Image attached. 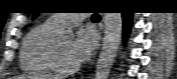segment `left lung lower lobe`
Wrapping results in <instances>:
<instances>
[{"mask_svg":"<svg viewBox=\"0 0 177 79\" xmlns=\"http://www.w3.org/2000/svg\"><path fill=\"white\" fill-rule=\"evenodd\" d=\"M123 21H124V38H127V35L129 33L130 27H131V21H132V13L124 12L123 13Z\"/></svg>","mask_w":177,"mask_h":79,"instance_id":"left-lung-lower-lobe-1","label":"left lung lower lobe"}]
</instances>
